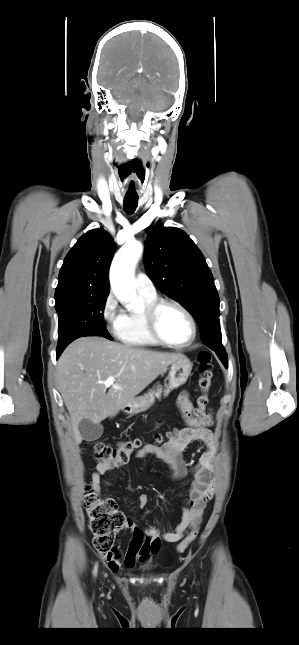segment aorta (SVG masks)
I'll return each mask as SVG.
<instances>
[{
  "label": "aorta",
  "instance_id": "obj_1",
  "mask_svg": "<svg viewBox=\"0 0 299 645\" xmlns=\"http://www.w3.org/2000/svg\"><path fill=\"white\" fill-rule=\"evenodd\" d=\"M142 251L141 243L137 241L127 242L117 252L111 265V288L120 301L129 303L128 308L134 306L131 304L136 295L134 268Z\"/></svg>",
  "mask_w": 299,
  "mask_h": 645
}]
</instances>
